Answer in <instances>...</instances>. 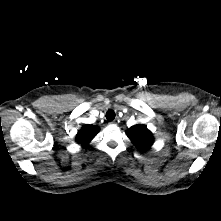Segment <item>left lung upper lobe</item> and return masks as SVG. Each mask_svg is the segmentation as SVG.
Wrapping results in <instances>:
<instances>
[{
  "label": "left lung upper lobe",
  "instance_id": "left-lung-upper-lobe-1",
  "mask_svg": "<svg viewBox=\"0 0 221 221\" xmlns=\"http://www.w3.org/2000/svg\"><path fill=\"white\" fill-rule=\"evenodd\" d=\"M133 144L142 152L147 151L153 144L152 133L145 125H134L126 132Z\"/></svg>",
  "mask_w": 221,
  "mask_h": 221
}]
</instances>
